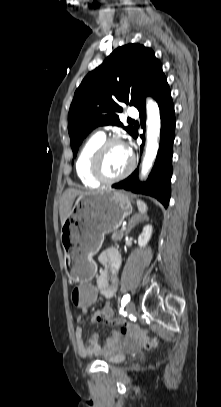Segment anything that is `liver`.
<instances>
[{"label": "liver", "mask_w": 221, "mask_h": 407, "mask_svg": "<svg viewBox=\"0 0 221 407\" xmlns=\"http://www.w3.org/2000/svg\"><path fill=\"white\" fill-rule=\"evenodd\" d=\"M92 193H95V192H93V191L84 192V191H80V190H76V189H72V188L67 189L63 193V196L60 201V208H59L61 225H63L64 222L66 221V219L69 217L75 198L77 196H83V195H88V194H92Z\"/></svg>", "instance_id": "6515ba94"}]
</instances>
